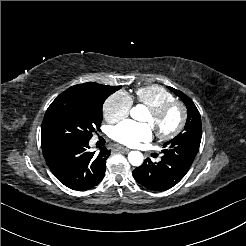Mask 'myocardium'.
I'll return each mask as SVG.
<instances>
[{
    "mask_svg": "<svg viewBox=\"0 0 246 246\" xmlns=\"http://www.w3.org/2000/svg\"><path fill=\"white\" fill-rule=\"evenodd\" d=\"M178 109L180 112V117L177 124L169 131L160 132L156 131L157 137L162 141H169L175 138L184 129L187 122V110L186 107L179 101L167 102L157 108L148 109V113L153 122H156L167 115L171 110Z\"/></svg>",
    "mask_w": 246,
    "mask_h": 246,
    "instance_id": "f54148a6",
    "label": "myocardium"
}]
</instances>
